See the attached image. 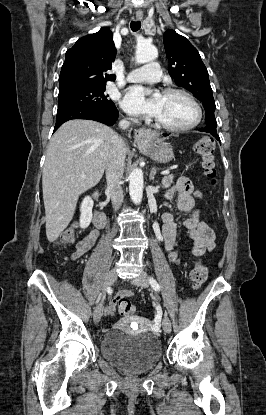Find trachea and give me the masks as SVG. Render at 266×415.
<instances>
[{"instance_id": "obj_1", "label": "trachea", "mask_w": 266, "mask_h": 415, "mask_svg": "<svg viewBox=\"0 0 266 415\" xmlns=\"http://www.w3.org/2000/svg\"><path fill=\"white\" fill-rule=\"evenodd\" d=\"M131 30L133 32H136L140 29L141 27V22L140 21H132L130 24Z\"/></svg>"}]
</instances>
